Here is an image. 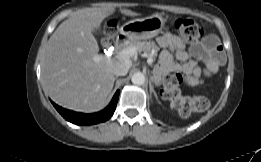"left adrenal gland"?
Masks as SVG:
<instances>
[{
  "mask_svg": "<svg viewBox=\"0 0 261 162\" xmlns=\"http://www.w3.org/2000/svg\"><path fill=\"white\" fill-rule=\"evenodd\" d=\"M149 87H150V93H153L155 98H156V100H157V102L160 103V101L158 99V96H157L156 92L154 91V88H153V85H152L151 81L149 82Z\"/></svg>",
  "mask_w": 261,
  "mask_h": 162,
  "instance_id": "obj_1",
  "label": "left adrenal gland"
}]
</instances>
